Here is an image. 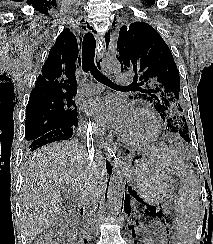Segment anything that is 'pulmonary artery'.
I'll use <instances>...</instances> for the list:
<instances>
[{
	"label": "pulmonary artery",
	"mask_w": 213,
	"mask_h": 244,
	"mask_svg": "<svg viewBox=\"0 0 213 244\" xmlns=\"http://www.w3.org/2000/svg\"><path fill=\"white\" fill-rule=\"evenodd\" d=\"M129 81L130 76L128 74L120 73L117 75L116 82L118 84L128 83ZM102 88V85L99 83H85L80 93L83 96H93L99 94Z\"/></svg>",
	"instance_id": "e3ab8cb5"
}]
</instances>
